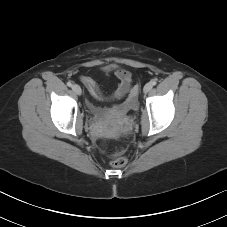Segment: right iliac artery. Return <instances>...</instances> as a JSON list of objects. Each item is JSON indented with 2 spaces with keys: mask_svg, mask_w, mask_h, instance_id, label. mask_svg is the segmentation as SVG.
<instances>
[{
  "mask_svg": "<svg viewBox=\"0 0 227 227\" xmlns=\"http://www.w3.org/2000/svg\"><path fill=\"white\" fill-rule=\"evenodd\" d=\"M67 85H68L69 87H72V82H71V81L67 82Z\"/></svg>",
  "mask_w": 227,
  "mask_h": 227,
  "instance_id": "right-iliac-artery-1",
  "label": "right iliac artery"
}]
</instances>
